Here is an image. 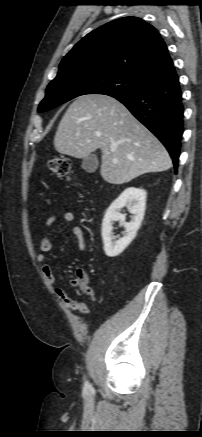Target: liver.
Masks as SVG:
<instances>
[{
    "instance_id": "6515ba94",
    "label": "liver",
    "mask_w": 202,
    "mask_h": 437,
    "mask_svg": "<svg viewBox=\"0 0 202 437\" xmlns=\"http://www.w3.org/2000/svg\"><path fill=\"white\" fill-rule=\"evenodd\" d=\"M54 146L75 158H86L100 148V174L110 184L127 183L172 166L161 142L122 103L107 95L76 98L58 125Z\"/></svg>"
}]
</instances>
